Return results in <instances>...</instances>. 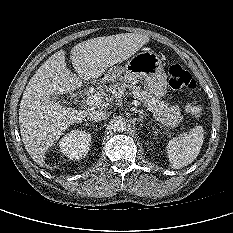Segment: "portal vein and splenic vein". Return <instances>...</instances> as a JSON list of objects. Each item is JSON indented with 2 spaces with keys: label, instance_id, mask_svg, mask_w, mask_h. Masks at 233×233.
I'll list each match as a JSON object with an SVG mask.
<instances>
[{
  "label": "portal vein and splenic vein",
  "instance_id": "portal-vein-and-splenic-vein-1",
  "mask_svg": "<svg viewBox=\"0 0 233 233\" xmlns=\"http://www.w3.org/2000/svg\"><path fill=\"white\" fill-rule=\"evenodd\" d=\"M86 104L89 105V106H92V105H98L102 102V96L100 95H91L89 96L87 99H86ZM133 104L135 106H139L140 103L138 100H133Z\"/></svg>",
  "mask_w": 233,
  "mask_h": 233
}]
</instances>
